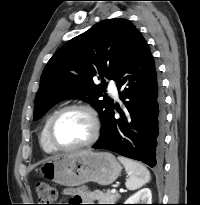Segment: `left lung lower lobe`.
<instances>
[{
    "instance_id": "0a47b994",
    "label": "left lung lower lobe",
    "mask_w": 200,
    "mask_h": 205,
    "mask_svg": "<svg viewBox=\"0 0 200 205\" xmlns=\"http://www.w3.org/2000/svg\"><path fill=\"white\" fill-rule=\"evenodd\" d=\"M114 80L125 108L112 107L95 149H106L159 166L163 158L164 98L150 49L138 32ZM118 111L120 118H115Z\"/></svg>"
}]
</instances>
